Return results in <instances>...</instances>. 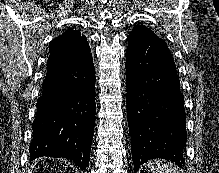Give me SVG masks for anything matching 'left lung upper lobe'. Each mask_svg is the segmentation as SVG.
Returning <instances> with one entry per match:
<instances>
[{
	"instance_id": "obj_1",
	"label": "left lung upper lobe",
	"mask_w": 219,
	"mask_h": 173,
	"mask_svg": "<svg viewBox=\"0 0 219 173\" xmlns=\"http://www.w3.org/2000/svg\"><path fill=\"white\" fill-rule=\"evenodd\" d=\"M139 33H154V32L145 26L137 25L136 27H134V29L131 31L130 34H139Z\"/></svg>"
}]
</instances>
